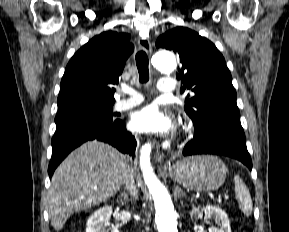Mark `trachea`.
<instances>
[{
    "mask_svg": "<svg viewBox=\"0 0 289 232\" xmlns=\"http://www.w3.org/2000/svg\"><path fill=\"white\" fill-rule=\"evenodd\" d=\"M136 66L139 72L140 83H146L149 81V59L147 54L141 50L136 54Z\"/></svg>",
    "mask_w": 289,
    "mask_h": 232,
    "instance_id": "3493384b",
    "label": "trachea"
}]
</instances>
